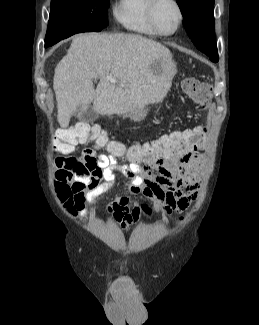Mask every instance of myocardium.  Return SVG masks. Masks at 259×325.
I'll return each mask as SVG.
<instances>
[{"label":"myocardium","mask_w":259,"mask_h":325,"mask_svg":"<svg viewBox=\"0 0 259 325\" xmlns=\"http://www.w3.org/2000/svg\"><path fill=\"white\" fill-rule=\"evenodd\" d=\"M159 1L160 0H149V4L147 6V18H148V21H149L151 27L155 30V32L158 35H161V36L173 35L174 33H176L179 30V28L181 27V25L183 23V20H184L183 7H182L181 3L178 0H170L175 5V7L177 8L178 22L176 24V27L171 32H162L158 28V26L156 24V21H155V17H154L155 8H156L157 4L159 3Z\"/></svg>","instance_id":"1"}]
</instances>
